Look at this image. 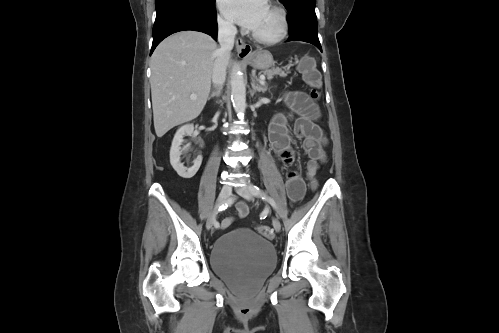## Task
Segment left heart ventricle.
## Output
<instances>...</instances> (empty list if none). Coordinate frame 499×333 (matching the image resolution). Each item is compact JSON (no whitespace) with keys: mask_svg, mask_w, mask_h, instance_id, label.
<instances>
[{"mask_svg":"<svg viewBox=\"0 0 499 333\" xmlns=\"http://www.w3.org/2000/svg\"><path fill=\"white\" fill-rule=\"evenodd\" d=\"M279 27L280 20L278 15L268 7L252 31L263 37H272L278 33Z\"/></svg>","mask_w":499,"mask_h":333,"instance_id":"b2bd125f","label":"left heart ventricle"}]
</instances>
